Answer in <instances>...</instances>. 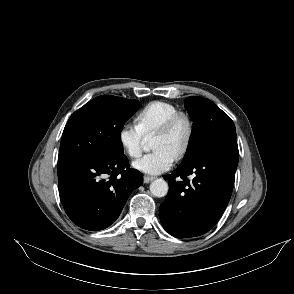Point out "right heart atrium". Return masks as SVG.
Returning <instances> with one entry per match:
<instances>
[{
    "instance_id": "obj_1",
    "label": "right heart atrium",
    "mask_w": 294,
    "mask_h": 294,
    "mask_svg": "<svg viewBox=\"0 0 294 294\" xmlns=\"http://www.w3.org/2000/svg\"><path fill=\"white\" fill-rule=\"evenodd\" d=\"M118 141L129 157L137 158L141 155L144 135L137 125L124 123L119 129Z\"/></svg>"
}]
</instances>
